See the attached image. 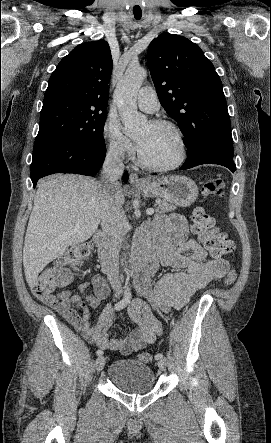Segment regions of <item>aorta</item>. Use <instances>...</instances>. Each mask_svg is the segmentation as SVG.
<instances>
[{"mask_svg":"<svg viewBox=\"0 0 271 443\" xmlns=\"http://www.w3.org/2000/svg\"><path fill=\"white\" fill-rule=\"evenodd\" d=\"M146 78L147 72L144 68L128 66L122 80L116 86L113 100L117 104L126 134L140 132L147 124L146 116L137 112V94Z\"/></svg>","mask_w":271,"mask_h":443,"instance_id":"aorta-1","label":"aorta"}]
</instances>
